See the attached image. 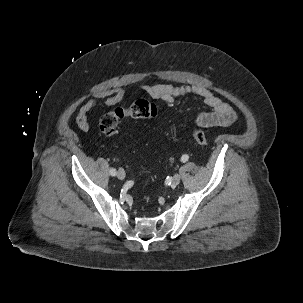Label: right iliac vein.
Masks as SVG:
<instances>
[{
  "instance_id": "1",
  "label": "right iliac vein",
  "mask_w": 303,
  "mask_h": 303,
  "mask_svg": "<svg viewBox=\"0 0 303 303\" xmlns=\"http://www.w3.org/2000/svg\"><path fill=\"white\" fill-rule=\"evenodd\" d=\"M117 177L120 179V180H123L125 178V171L123 169H119L118 172H117Z\"/></svg>"
}]
</instances>
